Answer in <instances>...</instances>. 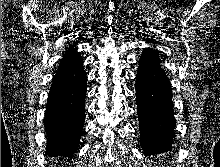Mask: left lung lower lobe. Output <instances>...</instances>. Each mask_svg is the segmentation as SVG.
<instances>
[{
	"mask_svg": "<svg viewBox=\"0 0 220 167\" xmlns=\"http://www.w3.org/2000/svg\"><path fill=\"white\" fill-rule=\"evenodd\" d=\"M160 63L154 50H146L136 77L140 144L146 155L169 151L175 136L171 85Z\"/></svg>",
	"mask_w": 220,
	"mask_h": 167,
	"instance_id": "obj_1",
	"label": "left lung lower lobe"
}]
</instances>
